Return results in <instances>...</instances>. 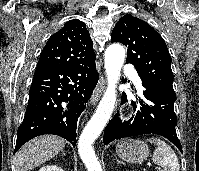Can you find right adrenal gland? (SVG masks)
<instances>
[{
	"instance_id": "obj_1",
	"label": "right adrenal gland",
	"mask_w": 199,
	"mask_h": 171,
	"mask_svg": "<svg viewBox=\"0 0 199 171\" xmlns=\"http://www.w3.org/2000/svg\"><path fill=\"white\" fill-rule=\"evenodd\" d=\"M62 154L65 155L64 151H62Z\"/></svg>"
}]
</instances>
